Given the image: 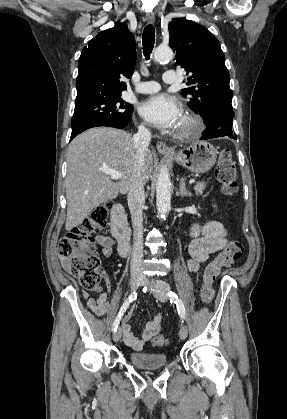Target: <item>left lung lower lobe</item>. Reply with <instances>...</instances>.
Returning <instances> with one entry per match:
<instances>
[{
    "label": "left lung lower lobe",
    "mask_w": 287,
    "mask_h": 419,
    "mask_svg": "<svg viewBox=\"0 0 287 419\" xmlns=\"http://www.w3.org/2000/svg\"><path fill=\"white\" fill-rule=\"evenodd\" d=\"M233 117L232 104H220L213 107L208 118L204 120L206 130H204L201 140L224 136L237 139L232 130Z\"/></svg>",
    "instance_id": "0a47b994"
}]
</instances>
